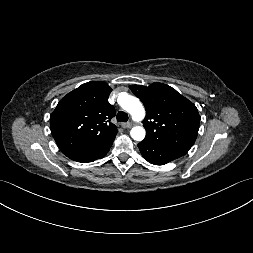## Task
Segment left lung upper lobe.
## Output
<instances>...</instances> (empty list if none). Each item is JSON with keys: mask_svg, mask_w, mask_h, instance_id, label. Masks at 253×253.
Returning <instances> with one entry per match:
<instances>
[{"mask_svg": "<svg viewBox=\"0 0 253 253\" xmlns=\"http://www.w3.org/2000/svg\"><path fill=\"white\" fill-rule=\"evenodd\" d=\"M129 88L146 109L143 142L187 153L199 130L200 116L196 106L163 83L156 82L148 87L131 85Z\"/></svg>", "mask_w": 253, "mask_h": 253, "instance_id": "obj_1", "label": "left lung upper lobe"}]
</instances>
